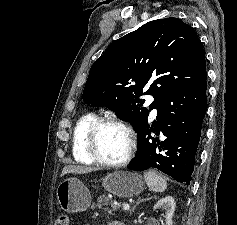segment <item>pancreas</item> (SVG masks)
Segmentation results:
<instances>
[{"label":"pancreas","mask_w":237,"mask_h":225,"mask_svg":"<svg viewBox=\"0 0 237 225\" xmlns=\"http://www.w3.org/2000/svg\"><path fill=\"white\" fill-rule=\"evenodd\" d=\"M120 206H121V203H118L117 205H113L108 197L102 195L96 199V203L92 204V209H95V208L101 209L104 207L103 209L106 212H108L109 214H114V211H116L117 208H119Z\"/></svg>","instance_id":"cf45deb5"}]
</instances>
